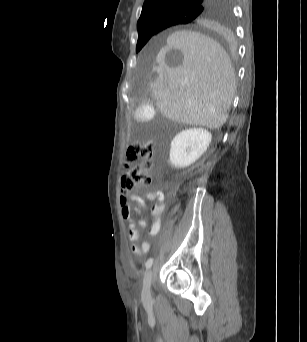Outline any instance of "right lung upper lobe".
Wrapping results in <instances>:
<instances>
[{
  "label": "right lung upper lobe",
  "instance_id": "1",
  "mask_svg": "<svg viewBox=\"0 0 307 342\" xmlns=\"http://www.w3.org/2000/svg\"><path fill=\"white\" fill-rule=\"evenodd\" d=\"M184 9H197L199 15L186 23L209 35L226 32L228 3L226 0H146L137 23L138 32L158 24L162 15Z\"/></svg>",
  "mask_w": 307,
  "mask_h": 342
}]
</instances>
